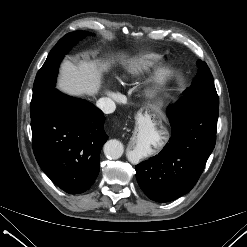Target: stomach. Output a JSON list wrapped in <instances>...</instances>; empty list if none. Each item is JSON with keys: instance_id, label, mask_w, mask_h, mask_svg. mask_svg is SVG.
<instances>
[{"instance_id": "0dacf381", "label": "stomach", "mask_w": 247, "mask_h": 247, "mask_svg": "<svg viewBox=\"0 0 247 247\" xmlns=\"http://www.w3.org/2000/svg\"><path fill=\"white\" fill-rule=\"evenodd\" d=\"M151 118L161 120L162 113L160 107L147 106L138 116V125H148Z\"/></svg>"}]
</instances>
